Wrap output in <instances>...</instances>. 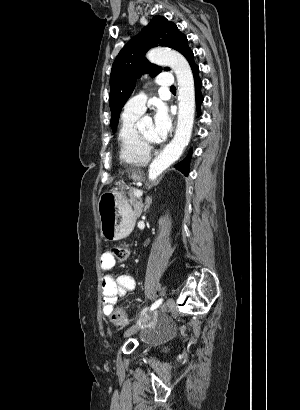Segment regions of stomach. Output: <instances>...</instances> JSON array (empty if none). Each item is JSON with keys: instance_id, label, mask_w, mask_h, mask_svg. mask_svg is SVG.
<instances>
[{"instance_id": "stomach-1", "label": "stomach", "mask_w": 300, "mask_h": 410, "mask_svg": "<svg viewBox=\"0 0 300 410\" xmlns=\"http://www.w3.org/2000/svg\"><path fill=\"white\" fill-rule=\"evenodd\" d=\"M131 177L139 180L140 175ZM101 235L106 241L119 240L130 234L135 218L131 205L122 192L110 191L102 194L98 202Z\"/></svg>"}]
</instances>
